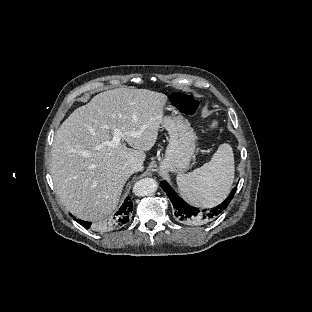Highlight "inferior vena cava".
Returning <instances> with one entry per match:
<instances>
[{
    "mask_svg": "<svg viewBox=\"0 0 312 312\" xmlns=\"http://www.w3.org/2000/svg\"><path fill=\"white\" fill-rule=\"evenodd\" d=\"M143 170L142 163L139 161H134L129 165L128 171L131 174H134L135 172H140Z\"/></svg>",
    "mask_w": 312,
    "mask_h": 312,
    "instance_id": "602c4592",
    "label": "inferior vena cava"
}]
</instances>
